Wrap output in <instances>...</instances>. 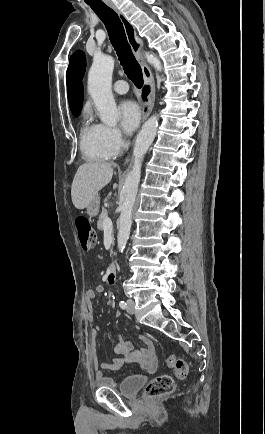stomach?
Instances as JSON below:
<instances>
[{
	"label": "stomach",
	"instance_id": "stomach-1",
	"mask_svg": "<svg viewBox=\"0 0 265 434\" xmlns=\"http://www.w3.org/2000/svg\"><path fill=\"white\" fill-rule=\"evenodd\" d=\"M99 204H100V198L99 196H95V198H93L92 202H90L87 208L88 216H97L99 212Z\"/></svg>",
	"mask_w": 265,
	"mask_h": 434
}]
</instances>
